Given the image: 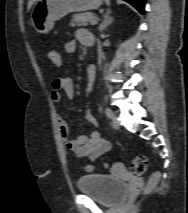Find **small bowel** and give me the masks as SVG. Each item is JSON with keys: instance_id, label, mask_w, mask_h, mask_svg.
Wrapping results in <instances>:
<instances>
[{"instance_id": "1", "label": "small bowel", "mask_w": 188, "mask_h": 213, "mask_svg": "<svg viewBox=\"0 0 188 213\" xmlns=\"http://www.w3.org/2000/svg\"><path fill=\"white\" fill-rule=\"evenodd\" d=\"M78 43L88 46L92 45L94 43L93 34L86 29L77 30L76 38L65 44V51L69 54L74 53ZM51 61L56 65H61L62 63L60 55L58 60ZM91 73L94 75L96 74V68L93 65L87 67V74L90 79ZM61 91L70 99L74 97V85L70 78H59L52 83V90L50 92V99L52 102L58 103L61 101ZM56 119L65 148L74 153L78 158L96 160L110 150V142L103 138L98 131L81 134L72 139L69 136V130L65 119L60 114H57ZM84 119L94 127L98 124L96 118L89 111H86Z\"/></svg>"}]
</instances>
